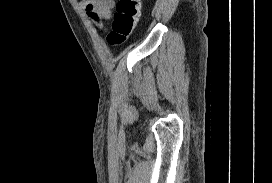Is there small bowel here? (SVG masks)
Wrapping results in <instances>:
<instances>
[{
    "label": "small bowel",
    "mask_w": 272,
    "mask_h": 183,
    "mask_svg": "<svg viewBox=\"0 0 272 183\" xmlns=\"http://www.w3.org/2000/svg\"><path fill=\"white\" fill-rule=\"evenodd\" d=\"M83 3L88 17L95 22L109 19L115 6L114 0H83ZM99 25L101 26V23Z\"/></svg>",
    "instance_id": "small-bowel-1"
}]
</instances>
